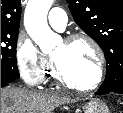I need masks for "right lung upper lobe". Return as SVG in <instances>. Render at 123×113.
<instances>
[{
    "mask_svg": "<svg viewBox=\"0 0 123 113\" xmlns=\"http://www.w3.org/2000/svg\"><path fill=\"white\" fill-rule=\"evenodd\" d=\"M21 18L20 0H1V31L18 30Z\"/></svg>",
    "mask_w": 123,
    "mask_h": 113,
    "instance_id": "cb5924a9",
    "label": "right lung upper lobe"
}]
</instances>
